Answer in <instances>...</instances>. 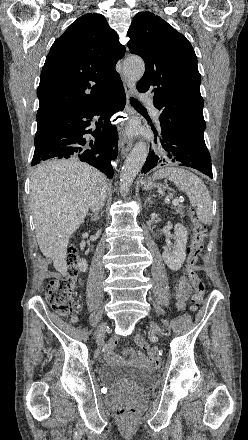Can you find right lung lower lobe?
<instances>
[{
  "label": "right lung lower lobe",
  "mask_w": 248,
  "mask_h": 440,
  "mask_svg": "<svg viewBox=\"0 0 248 440\" xmlns=\"http://www.w3.org/2000/svg\"><path fill=\"white\" fill-rule=\"evenodd\" d=\"M126 95L121 79L103 98L74 105L37 122L31 166L51 158H76L113 176L110 161L117 156L116 127L110 117L124 109ZM92 126L96 129L92 130Z\"/></svg>",
  "instance_id": "1"
}]
</instances>
